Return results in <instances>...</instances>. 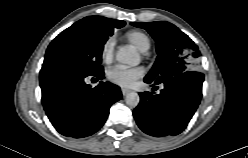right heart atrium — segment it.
Here are the masks:
<instances>
[{"mask_svg": "<svg viewBox=\"0 0 248 158\" xmlns=\"http://www.w3.org/2000/svg\"><path fill=\"white\" fill-rule=\"evenodd\" d=\"M114 47L111 38L105 40L101 47V58L105 63H109L113 59Z\"/></svg>", "mask_w": 248, "mask_h": 158, "instance_id": "right-heart-atrium-1", "label": "right heart atrium"}]
</instances>
